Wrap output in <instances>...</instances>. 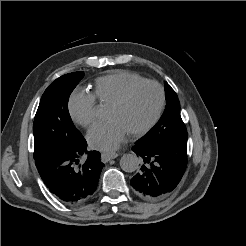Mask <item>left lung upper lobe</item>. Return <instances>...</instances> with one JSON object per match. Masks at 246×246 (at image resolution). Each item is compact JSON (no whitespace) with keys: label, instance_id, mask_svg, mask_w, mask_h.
Masks as SVG:
<instances>
[{"label":"left lung upper lobe","instance_id":"1","mask_svg":"<svg viewBox=\"0 0 246 246\" xmlns=\"http://www.w3.org/2000/svg\"><path fill=\"white\" fill-rule=\"evenodd\" d=\"M167 105L165 111L150 131L142 137L144 141L155 143L161 140H187V130L180 115V103L175 91L165 83Z\"/></svg>","mask_w":246,"mask_h":246}]
</instances>
